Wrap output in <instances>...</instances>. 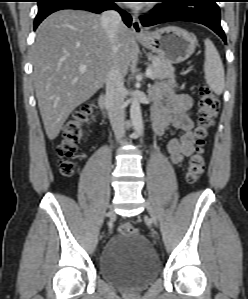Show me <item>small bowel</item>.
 I'll use <instances>...</instances> for the list:
<instances>
[{
	"label": "small bowel",
	"instance_id": "c3829d8e",
	"mask_svg": "<svg viewBox=\"0 0 248 299\" xmlns=\"http://www.w3.org/2000/svg\"><path fill=\"white\" fill-rule=\"evenodd\" d=\"M156 117L154 130L163 134L168 128L182 130L179 138L168 143V151L173 164L181 163L193 154L195 148L194 124L191 118L192 99L172 85L161 83L153 87Z\"/></svg>",
	"mask_w": 248,
	"mask_h": 299
}]
</instances>
